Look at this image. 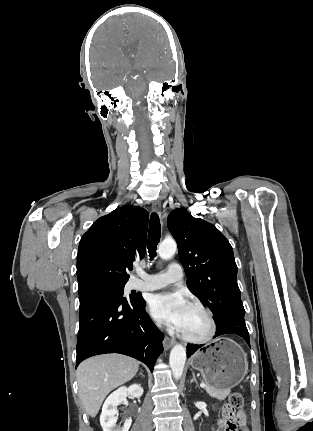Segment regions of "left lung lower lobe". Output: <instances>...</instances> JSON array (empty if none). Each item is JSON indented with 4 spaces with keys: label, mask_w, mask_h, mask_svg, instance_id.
Returning a JSON list of instances; mask_svg holds the SVG:
<instances>
[{
    "label": "left lung lower lobe",
    "mask_w": 313,
    "mask_h": 431,
    "mask_svg": "<svg viewBox=\"0 0 313 431\" xmlns=\"http://www.w3.org/2000/svg\"><path fill=\"white\" fill-rule=\"evenodd\" d=\"M224 334H236L241 336L250 346L249 333L245 324L244 316H232L217 324L215 337ZM202 345H188L187 357H190Z\"/></svg>",
    "instance_id": "0a47b994"
}]
</instances>
